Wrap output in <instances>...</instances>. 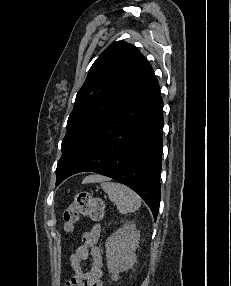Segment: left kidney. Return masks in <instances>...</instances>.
<instances>
[{"instance_id":"1","label":"left kidney","mask_w":231,"mask_h":286,"mask_svg":"<svg viewBox=\"0 0 231 286\" xmlns=\"http://www.w3.org/2000/svg\"><path fill=\"white\" fill-rule=\"evenodd\" d=\"M140 231L134 223L126 224L106 240L107 268L111 279L117 281L119 273L131 269L136 261Z\"/></svg>"}]
</instances>
